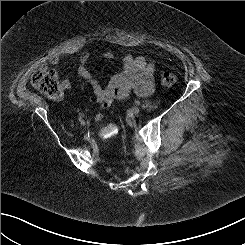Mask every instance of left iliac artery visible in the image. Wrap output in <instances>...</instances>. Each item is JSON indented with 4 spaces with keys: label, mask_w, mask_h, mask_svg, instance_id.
<instances>
[{
    "label": "left iliac artery",
    "mask_w": 245,
    "mask_h": 245,
    "mask_svg": "<svg viewBox=\"0 0 245 245\" xmlns=\"http://www.w3.org/2000/svg\"><path fill=\"white\" fill-rule=\"evenodd\" d=\"M135 104L140 105V101L139 100H135Z\"/></svg>",
    "instance_id": "44dca946"
}]
</instances>
